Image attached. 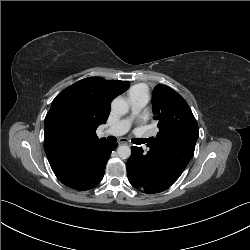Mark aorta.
<instances>
[{
  "label": "aorta",
  "instance_id": "762f6f07",
  "mask_svg": "<svg viewBox=\"0 0 250 250\" xmlns=\"http://www.w3.org/2000/svg\"><path fill=\"white\" fill-rule=\"evenodd\" d=\"M111 110L117 115H125L129 111V104L124 98L117 97L111 103ZM117 153L120 158L127 159L131 155V149L126 145H121L118 147Z\"/></svg>",
  "mask_w": 250,
  "mask_h": 250
}]
</instances>
